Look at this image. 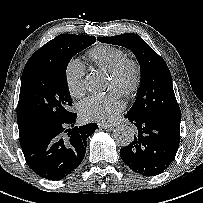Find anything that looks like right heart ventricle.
<instances>
[{
	"label": "right heart ventricle",
	"mask_w": 203,
	"mask_h": 203,
	"mask_svg": "<svg viewBox=\"0 0 203 203\" xmlns=\"http://www.w3.org/2000/svg\"><path fill=\"white\" fill-rule=\"evenodd\" d=\"M125 56L122 49L109 45H97L87 52L88 59L95 66L107 72Z\"/></svg>",
	"instance_id": "e07e8e85"
}]
</instances>
